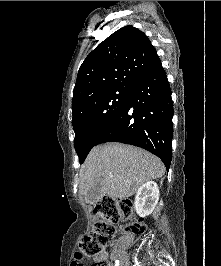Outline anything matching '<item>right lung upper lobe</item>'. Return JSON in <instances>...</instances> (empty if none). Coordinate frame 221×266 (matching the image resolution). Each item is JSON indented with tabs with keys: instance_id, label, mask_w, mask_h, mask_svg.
<instances>
[{
	"instance_id": "obj_1",
	"label": "right lung upper lobe",
	"mask_w": 221,
	"mask_h": 266,
	"mask_svg": "<svg viewBox=\"0 0 221 266\" xmlns=\"http://www.w3.org/2000/svg\"><path fill=\"white\" fill-rule=\"evenodd\" d=\"M161 61L148 37L133 26H125L100 43L84 60L73 91L72 111L101 91L132 87Z\"/></svg>"
}]
</instances>
